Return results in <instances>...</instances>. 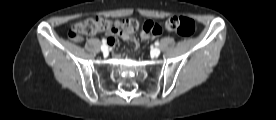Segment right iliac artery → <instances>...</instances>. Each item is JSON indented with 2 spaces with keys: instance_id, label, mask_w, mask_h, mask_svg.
Segmentation results:
<instances>
[{
  "instance_id": "right-iliac-artery-1",
  "label": "right iliac artery",
  "mask_w": 276,
  "mask_h": 120,
  "mask_svg": "<svg viewBox=\"0 0 276 120\" xmlns=\"http://www.w3.org/2000/svg\"><path fill=\"white\" fill-rule=\"evenodd\" d=\"M102 43H103V45H105L107 43V40L106 39H102Z\"/></svg>"
}]
</instances>
